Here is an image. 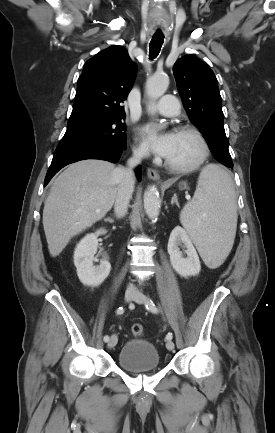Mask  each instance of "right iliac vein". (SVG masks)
I'll use <instances>...</instances> for the list:
<instances>
[{
	"mask_svg": "<svg viewBox=\"0 0 275 433\" xmlns=\"http://www.w3.org/2000/svg\"><path fill=\"white\" fill-rule=\"evenodd\" d=\"M134 296H135V293H134V292H132V291H127V292L125 293V296H124L125 301H126V302H130V301L134 298ZM117 341H118L117 335H116V334H113V335L110 337V340H109V342H108V344H107V347L110 348V349L113 348V347H115L116 344H117Z\"/></svg>",
	"mask_w": 275,
	"mask_h": 433,
	"instance_id": "right-iliac-vein-1",
	"label": "right iliac vein"
}]
</instances>
